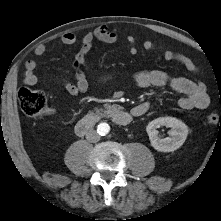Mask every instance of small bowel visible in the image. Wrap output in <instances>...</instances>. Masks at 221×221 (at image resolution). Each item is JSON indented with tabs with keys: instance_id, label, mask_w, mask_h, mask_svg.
Listing matches in <instances>:
<instances>
[{
	"instance_id": "obj_1",
	"label": "small bowel",
	"mask_w": 221,
	"mask_h": 221,
	"mask_svg": "<svg viewBox=\"0 0 221 221\" xmlns=\"http://www.w3.org/2000/svg\"><path fill=\"white\" fill-rule=\"evenodd\" d=\"M119 35L108 29L106 26L97 27L92 32L86 33L80 39V47L72 58V66L75 74V82L66 78L62 79L65 90L73 96L85 93L89 88V77L87 55L91 51L95 42L115 43L119 40ZM77 36L74 33L66 32L60 37V41L64 45H73L77 42ZM128 53L135 56L138 53V46L133 37H128ZM142 47L145 51L162 50L163 57L167 61H173L181 64L185 69L193 74L199 73L198 66L191 58L185 54L163 49L159 44L152 41H144ZM47 51L44 44H40L35 48L36 56H43ZM37 62L33 59L28 60L24 67V83L29 86L36 85L39 81L35 73ZM98 82H109L114 79V75L107 73L94 76ZM134 83L140 88L157 87L170 88L171 90L181 94L178 105L183 110L205 109L210 104V97L206 91V87L202 82L192 81L185 77L170 76L159 70L142 71L134 75ZM135 107L132 109L134 111Z\"/></svg>"
}]
</instances>
